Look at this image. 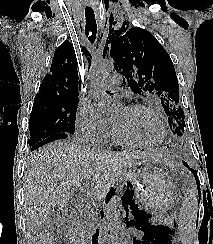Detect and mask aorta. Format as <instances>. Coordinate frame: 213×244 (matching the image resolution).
I'll return each instance as SVG.
<instances>
[{"mask_svg": "<svg viewBox=\"0 0 213 244\" xmlns=\"http://www.w3.org/2000/svg\"><path fill=\"white\" fill-rule=\"evenodd\" d=\"M113 69V60L103 58L95 61L89 70L91 97L98 111L101 115L106 117L114 115L119 110L120 104L105 91L99 89L97 85L104 81ZM106 214L108 219V238L110 244H125L122 226V203L117 196L111 198L106 208Z\"/></svg>", "mask_w": 213, "mask_h": 244, "instance_id": "obj_1", "label": "aorta"}]
</instances>
